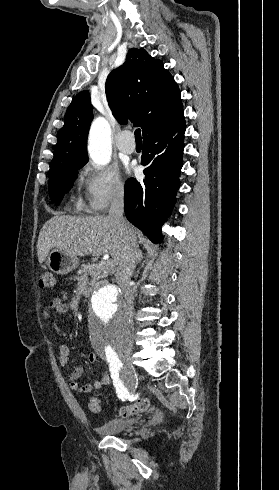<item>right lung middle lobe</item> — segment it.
Returning a JSON list of instances; mask_svg holds the SVG:
<instances>
[{"label":"right lung middle lobe","instance_id":"right-lung-middle-lobe-1","mask_svg":"<svg viewBox=\"0 0 279 490\" xmlns=\"http://www.w3.org/2000/svg\"><path fill=\"white\" fill-rule=\"evenodd\" d=\"M86 162L81 164L60 169L49 175V196L53 202L58 205L63 198L64 193H67L73 185L76 177L75 171L83 167Z\"/></svg>","mask_w":279,"mask_h":490}]
</instances>
